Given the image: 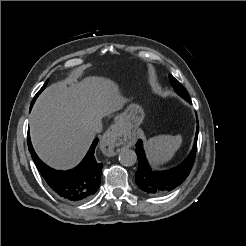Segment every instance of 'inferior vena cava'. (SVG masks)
Instances as JSON below:
<instances>
[{
    "instance_id": "inferior-vena-cava-1",
    "label": "inferior vena cava",
    "mask_w": 246,
    "mask_h": 246,
    "mask_svg": "<svg viewBox=\"0 0 246 246\" xmlns=\"http://www.w3.org/2000/svg\"><path fill=\"white\" fill-rule=\"evenodd\" d=\"M101 116H96L89 121V129L93 133H100L102 130Z\"/></svg>"
}]
</instances>
